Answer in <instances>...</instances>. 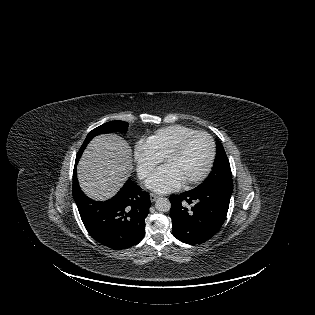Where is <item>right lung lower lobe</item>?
Masks as SVG:
<instances>
[{
  "label": "right lung lower lobe",
  "mask_w": 315,
  "mask_h": 315,
  "mask_svg": "<svg viewBox=\"0 0 315 315\" xmlns=\"http://www.w3.org/2000/svg\"><path fill=\"white\" fill-rule=\"evenodd\" d=\"M72 192L87 231L102 245L120 250L136 245L143 239L144 220L151 201L149 194L141 191L130 179L110 200L94 201L80 189L75 166Z\"/></svg>",
  "instance_id": "98d812e1"
}]
</instances>
